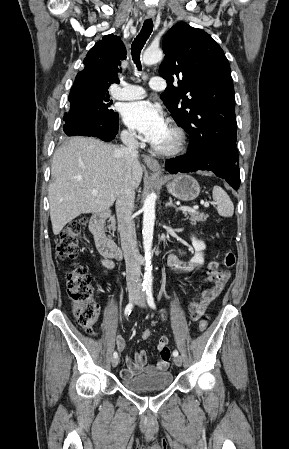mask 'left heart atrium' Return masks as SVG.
<instances>
[{
	"mask_svg": "<svg viewBox=\"0 0 289 449\" xmlns=\"http://www.w3.org/2000/svg\"><path fill=\"white\" fill-rule=\"evenodd\" d=\"M123 120L143 140L152 144H157L167 130L160 108L149 101L126 104L123 109Z\"/></svg>",
	"mask_w": 289,
	"mask_h": 449,
	"instance_id": "obj_1",
	"label": "left heart atrium"
}]
</instances>
